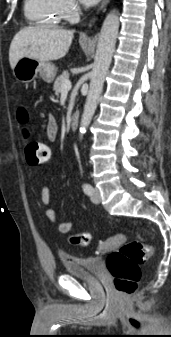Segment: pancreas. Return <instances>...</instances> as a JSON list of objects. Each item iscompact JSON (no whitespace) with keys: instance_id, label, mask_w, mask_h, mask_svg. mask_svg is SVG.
Masks as SVG:
<instances>
[{"instance_id":"obj_1","label":"pancreas","mask_w":171,"mask_h":337,"mask_svg":"<svg viewBox=\"0 0 171 337\" xmlns=\"http://www.w3.org/2000/svg\"><path fill=\"white\" fill-rule=\"evenodd\" d=\"M68 78H69V73L67 71H64L60 76L56 78L53 89L57 96H59V94L62 92V82Z\"/></svg>"}]
</instances>
